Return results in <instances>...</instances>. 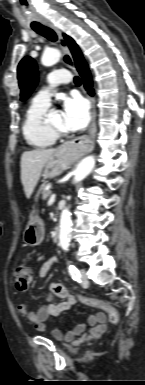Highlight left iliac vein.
<instances>
[{
  "label": "left iliac vein",
  "instance_id": "4c4485c4",
  "mask_svg": "<svg viewBox=\"0 0 145 385\" xmlns=\"http://www.w3.org/2000/svg\"><path fill=\"white\" fill-rule=\"evenodd\" d=\"M80 279L83 285H88V278L84 269L80 270Z\"/></svg>",
  "mask_w": 145,
  "mask_h": 385
}]
</instances>
